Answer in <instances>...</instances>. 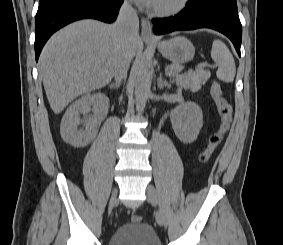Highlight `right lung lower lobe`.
<instances>
[{
	"label": "right lung lower lobe",
	"instance_id": "right-lung-lower-lobe-1",
	"mask_svg": "<svg viewBox=\"0 0 283 245\" xmlns=\"http://www.w3.org/2000/svg\"><path fill=\"white\" fill-rule=\"evenodd\" d=\"M123 0H40L35 19L36 61L49 37L79 19L115 21Z\"/></svg>",
	"mask_w": 283,
	"mask_h": 245
}]
</instances>
